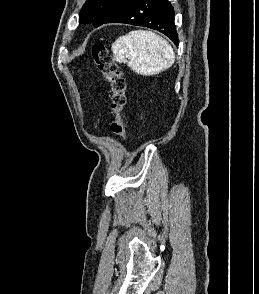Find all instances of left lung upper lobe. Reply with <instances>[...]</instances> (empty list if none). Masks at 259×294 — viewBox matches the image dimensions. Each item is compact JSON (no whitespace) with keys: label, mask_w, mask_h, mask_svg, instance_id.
<instances>
[{"label":"left lung upper lobe","mask_w":259,"mask_h":294,"mask_svg":"<svg viewBox=\"0 0 259 294\" xmlns=\"http://www.w3.org/2000/svg\"><path fill=\"white\" fill-rule=\"evenodd\" d=\"M125 0H87L82 6L79 22L93 23L95 27L103 24L107 16Z\"/></svg>","instance_id":"obj_1"}]
</instances>
